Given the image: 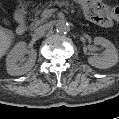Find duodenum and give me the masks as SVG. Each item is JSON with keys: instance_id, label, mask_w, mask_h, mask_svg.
<instances>
[{"instance_id": "410a0bca", "label": "duodenum", "mask_w": 119, "mask_h": 119, "mask_svg": "<svg viewBox=\"0 0 119 119\" xmlns=\"http://www.w3.org/2000/svg\"><path fill=\"white\" fill-rule=\"evenodd\" d=\"M16 20L18 22L16 28V34L21 37L26 32V24H25V10L24 8H19L16 12Z\"/></svg>"}]
</instances>
